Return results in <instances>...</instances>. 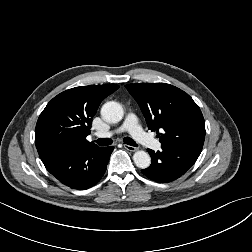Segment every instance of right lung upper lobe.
I'll list each match as a JSON object with an SVG mask.
<instances>
[{
    "mask_svg": "<svg viewBox=\"0 0 252 252\" xmlns=\"http://www.w3.org/2000/svg\"><path fill=\"white\" fill-rule=\"evenodd\" d=\"M118 88L116 84L80 86L54 97L40 114L35 128L41 160L65 149L98 147L86 140L92 118L102 100Z\"/></svg>",
    "mask_w": 252,
    "mask_h": 252,
    "instance_id": "cb5924a9",
    "label": "right lung upper lobe"
}]
</instances>
